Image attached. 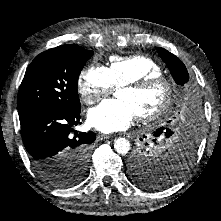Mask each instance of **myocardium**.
I'll return each instance as SVG.
<instances>
[{
  "label": "myocardium",
  "mask_w": 221,
  "mask_h": 221,
  "mask_svg": "<svg viewBox=\"0 0 221 221\" xmlns=\"http://www.w3.org/2000/svg\"><path fill=\"white\" fill-rule=\"evenodd\" d=\"M157 85H163L166 89V98L162 105L156 109L155 111L143 114V115H137V119L140 122H153L157 121L160 118H162L171 108L173 105L175 95H176V85L175 83L166 76H150L143 78L141 80L126 83L121 86V89H128L135 92H143L149 88H152Z\"/></svg>",
  "instance_id": "obj_1"
}]
</instances>
